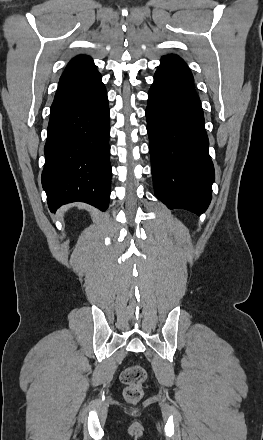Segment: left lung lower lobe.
I'll return each instance as SVG.
<instances>
[{
    "label": "left lung lower lobe",
    "instance_id": "1",
    "mask_svg": "<svg viewBox=\"0 0 263 440\" xmlns=\"http://www.w3.org/2000/svg\"><path fill=\"white\" fill-rule=\"evenodd\" d=\"M146 117L158 199L170 209L204 213L215 172L193 75L179 56L162 57L148 93Z\"/></svg>",
    "mask_w": 263,
    "mask_h": 440
}]
</instances>
